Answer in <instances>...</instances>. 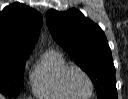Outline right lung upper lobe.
Segmentation results:
<instances>
[{
  "instance_id": "right-lung-upper-lobe-1",
  "label": "right lung upper lobe",
  "mask_w": 128,
  "mask_h": 99,
  "mask_svg": "<svg viewBox=\"0 0 128 99\" xmlns=\"http://www.w3.org/2000/svg\"><path fill=\"white\" fill-rule=\"evenodd\" d=\"M42 16L22 3H14L0 12V52L30 54L36 43Z\"/></svg>"
}]
</instances>
